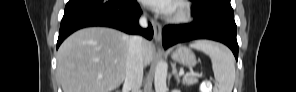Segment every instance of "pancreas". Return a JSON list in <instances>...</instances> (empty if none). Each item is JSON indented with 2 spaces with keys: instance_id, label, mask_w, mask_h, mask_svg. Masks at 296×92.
I'll return each mask as SVG.
<instances>
[{
  "instance_id": "pancreas-1",
  "label": "pancreas",
  "mask_w": 296,
  "mask_h": 92,
  "mask_svg": "<svg viewBox=\"0 0 296 92\" xmlns=\"http://www.w3.org/2000/svg\"><path fill=\"white\" fill-rule=\"evenodd\" d=\"M197 82H198V79L196 77H193V76L183 77V80H182V83L184 85H188V86L194 85Z\"/></svg>"
}]
</instances>
